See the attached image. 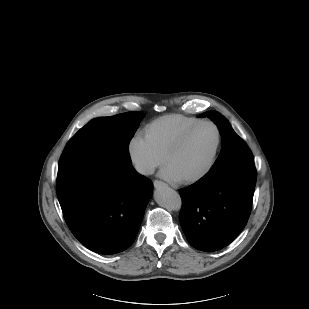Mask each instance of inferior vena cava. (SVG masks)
I'll use <instances>...</instances> for the list:
<instances>
[{"label":"inferior vena cava","mask_w":309,"mask_h":309,"mask_svg":"<svg viewBox=\"0 0 309 309\" xmlns=\"http://www.w3.org/2000/svg\"><path fill=\"white\" fill-rule=\"evenodd\" d=\"M136 170L141 174L150 175L154 173L155 169L149 165L138 164L136 165Z\"/></svg>","instance_id":"inferior-vena-cava-1"}]
</instances>
